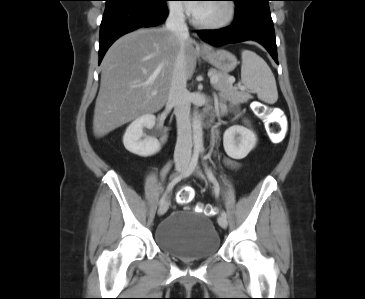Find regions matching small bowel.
I'll use <instances>...</instances> for the list:
<instances>
[{"instance_id": "c3829d8e", "label": "small bowel", "mask_w": 365, "mask_h": 299, "mask_svg": "<svg viewBox=\"0 0 365 299\" xmlns=\"http://www.w3.org/2000/svg\"><path fill=\"white\" fill-rule=\"evenodd\" d=\"M227 164H228V166H230L231 168H236V167H238V163H237V162H235V161H233V160H227ZM167 169H168V167H166V168L164 169V171H167Z\"/></svg>"}]
</instances>
